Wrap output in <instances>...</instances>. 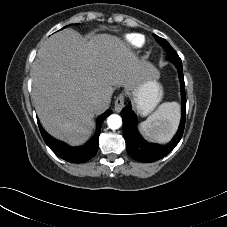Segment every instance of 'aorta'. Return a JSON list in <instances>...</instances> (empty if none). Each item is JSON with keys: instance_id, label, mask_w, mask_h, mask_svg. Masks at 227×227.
<instances>
[{"instance_id": "obj_1", "label": "aorta", "mask_w": 227, "mask_h": 227, "mask_svg": "<svg viewBox=\"0 0 227 227\" xmlns=\"http://www.w3.org/2000/svg\"><path fill=\"white\" fill-rule=\"evenodd\" d=\"M107 125L112 130L119 129L122 126V118L118 114H112L107 118Z\"/></svg>"}]
</instances>
